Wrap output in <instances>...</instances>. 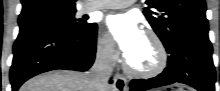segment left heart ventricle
<instances>
[{
	"label": "left heart ventricle",
	"instance_id": "left-heart-ventricle-1",
	"mask_svg": "<svg viewBox=\"0 0 220 91\" xmlns=\"http://www.w3.org/2000/svg\"><path fill=\"white\" fill-rule=\"evenodd\" d=\"M126 59L136 69H150L154 66L157 59L153 42L143 35L138 45Z\"/></svg>",
	"mask_w": 220,
	"mask_h": 91
}]
</instances>
